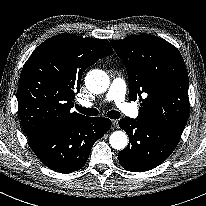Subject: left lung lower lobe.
I'll use <instances>...</instances> for the list:
<instances>
[{"label": "left lung lower lobe", "instance_id": "left-lung-lower-lobe-1", "mask_svg": "<svg viewBox=\"0 0 206 206\" xmlns=\"http://www.w3.org/2000/svg\"><path fill=\"white\" fill-rule=\"evenodd\" d=\"M119 126L129 137V145L118 154L123 168L131 172L151 170L166 160L176 148L181 132L123 118Z\"/></svg>", "mask_w": 206, "mask_h": 206}]
</instances>
